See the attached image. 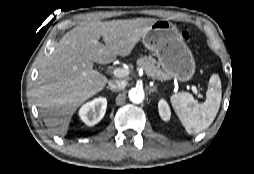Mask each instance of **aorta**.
Returning a JSON list of instances; mask_svg holds the SVG:
<instances>
[{
	"label": "aorta",
	"mask_w": 254,
	"mask_h": 174,
	"mask_svg": "<svg viewBox=\"0 0 254 174\" xmlns=\"http://www.w3.org/2000/svg\"><path fill=\"white\" fill-rule=\"evenodd\" d=\"M128 96H129V99L131 102H133L135 104H140L141 102H143L145 94L142 89L132 88L129 91Z\"/></svg>",
	"instance_id": "1"
}]
</instances>
